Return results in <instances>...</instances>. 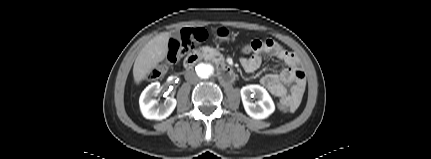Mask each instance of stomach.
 I'll use <instances>...</instances> for the list:
<instances>
[{
	"instance_id": "1",
	"label": "stomach",
	"mask_w": 431,
	"mask_h": 159,
	"mask_svg": "<svg viewBox=\"0 0 431 159\" xmlns=\"http://www.w3.org/2000/svg\"><path fill=\"white\" fill-rule=\"evenodd\" d=\"M215 35L220 41H227L230 37V31L226 27H219L216 29Z\"/></svg>"
}]
</instances>
